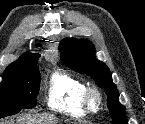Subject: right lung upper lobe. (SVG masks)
<instances>
[{
    "label": "right lung upper lobe",
    "mask_w": 145,
    "mask_h": 124,
    "mask_svg": "<svg viewBox=\"0 0 145 124\" xmlns=\"http://www.w3.org/2000/svg\"><path fill=\"white\" fill-rule=\"evenodd\" d=\"M39 56L38 53L24 54L6 68L4 76L16 75L29 71L37 64Z\"/></svg>",
    "instance_id": "cb5924a9"
}]
</instances>
